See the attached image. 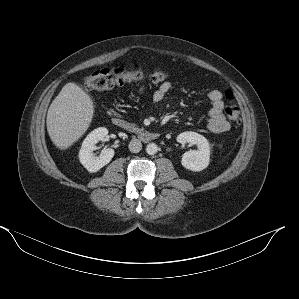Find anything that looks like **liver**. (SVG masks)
<instances>
[{
	"label": "liver",
	"mask_w": 299,
	"mask_h": 299,
	"mask_svg": "<svg viewBox=\"0 0 299 299\" xmlns=\"http://www.w3.org/2000/svg\"><path fill=\"white\" fill-rule=\"evenodd\" d=\"M94 115L91 97L75 83L64 85L47 113V131L56 147L66 150L90 126Z\"/></svg>",
	"instance_id": "liver-1"
}]
</instances>
